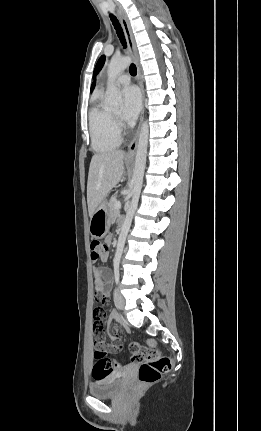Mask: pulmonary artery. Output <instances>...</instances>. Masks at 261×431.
<instances>
[{"label":"pulmonary artery","mask_w":261,"mask_h":431,"mask_svg":"<svg viewBox=\"0 0 261 431\" xmlns=\"http://www.w3.org/2000/svg\"><path fill=\"white\" fill-rule=\"evenodd\" d=\"M116 82L120 85H128L130 83V76L122 74L116 79Z\"/></svg>","instance_id":"obj_1"}]
</instances>
